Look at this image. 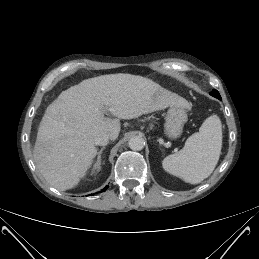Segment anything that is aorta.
I'll return each instance as SVG.
<instances>
[{
	"instance_id": "obj_1",
	"label": "aorta",
	"mask_w": 259,
	"mask_h": 259,
	"mask_svg": "<svg viewBox=\"0 0 259 259\" xmlns=\"http://www.w3.org/2000/svg\"><path fill=\"white\" fill-rule=\"evenodd\" d=\"M128 145L134 151H140L145 146V140L141 136H133L129 139Z\"/></svg>"
}]
</instances>
